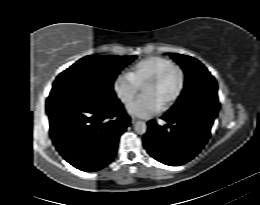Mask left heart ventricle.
<instances>
[{
  "label": "left heart ventricle",
  "mask_w": 260,
  "mask_h": 205,
  "mask_svg": "<svg viewBox=\"0 0 260 205\" xmlns=\"http://www.w3.org/2000/svg\"><path fill=\"white\" fill-rule=\"evenodd\" d=\"M179 85V75L178 73H172L167 76L162 83L157 85L156 94L157 102L160 105L165 104V102L174 94Z\"/></svg>",
  "instance_id": "left-heart-ventricle-1"
}]
</instances>
